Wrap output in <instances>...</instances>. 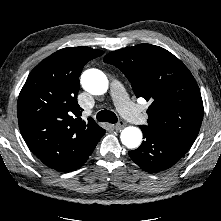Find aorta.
I'll use <instances>...</instances> for the list:
<instances>
[{
    "label": "aorta",
    "instance_id": "obj_1",
    "mask_svg": "<svg viewBox=\"0 0 221 221\" xmlns=\"http://www.w3.org/2000/svg\"><path fill=\"white\" fill-rule=\"evenodd\" d=\"M83 89L92 95H102L107 92L109 82L106 75L98 69H88L81 75ZM120 139L123 145L129 149L137 148L142 141V132L134 126L122 130Z\"/></svg>",
    "mask_w": 221,
    "mask_h": 221
}]
</instances>
